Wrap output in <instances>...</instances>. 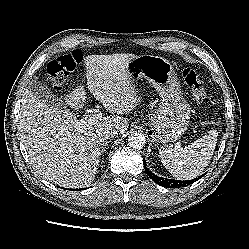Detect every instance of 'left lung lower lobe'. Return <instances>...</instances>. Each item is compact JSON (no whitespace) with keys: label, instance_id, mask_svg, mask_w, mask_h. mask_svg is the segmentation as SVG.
I'll list each match as a JSON object with an SVG mask.
<instances>
[{"label":"left lung lower lobe","instance_id":"obj_1","mask_svg":"<svg viewBox=\"0 0 249 249\" xmlns=\"http://www.w3.org/2000/svg\"><path fill=\"white\" fill-rule=\"evenodd\" d=\"M143 164H144V169L146 174L158 185L167 187V188H180V187H185L188 186L194 182H196L198 179H200L203 175L199 176L198 178L192 179V180H187V181H181V180H172V179H167V178H162L158 177L155 174H153L146 165L145 159H143Z\"/></svg>","mask_w":249,"mask_h":249}]
</instances>
